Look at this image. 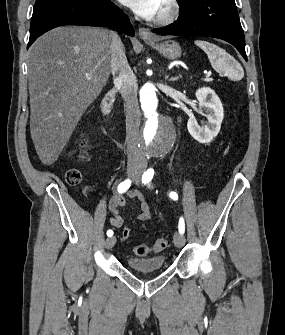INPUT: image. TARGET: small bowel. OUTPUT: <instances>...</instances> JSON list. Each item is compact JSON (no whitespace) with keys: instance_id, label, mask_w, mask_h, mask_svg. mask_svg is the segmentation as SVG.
I'll return each mask as SVG.
<instances>
[{"instance_id":"1","label":"small bowel","mask_w":285,"mask_h":335,"mask_svg":"<svg viewBox=\"0 0 285 335\" xmlns=\"http://www.w3.org/2000/svg\"><path fill=\"white\" fill-rule=\"evenodd\" d=\"M128 196L135 199L139 203V212L137 214V219L139 221H147L151 217V211L149 204L145 200L143 194L138 190H132L129 192ZM126 200L124 195L115 194L109 201V209L112 212V218L110 224L114 228H121L124 225V218L121 215V210L125 207Z\"/></svg>"}]
</instances>
